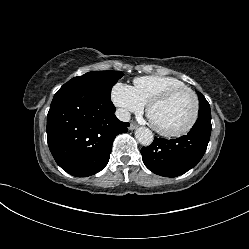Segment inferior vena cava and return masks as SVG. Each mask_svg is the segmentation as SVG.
Wrapping results in <instances>:
<instances>
[{
	"mask_svg": "<svg viewBox=\"0 0 249 249\" xmlns=\"http://www.w3.org/2000/svg\"><path fill=\"white\" fill-rule=\"evenodd\" d=\"M115 114L117 118L123 122H128L130 120V113L125 109H117Z\"/></svg>",
	"mask_w": 249,
	"mask_h": 249,
	"instance_id": "inferior-vena-cava-1",
	"label": "inferior vena cava"
}]
</instances>
